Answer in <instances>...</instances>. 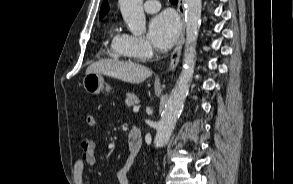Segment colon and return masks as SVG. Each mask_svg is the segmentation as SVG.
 <instances>
[{"label": "colon", "instance_id": "5ec220e1", "mask_svg": "<svg viewBox=\"0 0 293 184\" xmlns=\"http://www.w3.org/2000/svg\"><path fill=\"white\" fill-rule=\"evenodd\" d=\"M96 123V119H95V116L91 113H88L87 116H86V124L87 126L89 127H93Z\"/></svg>", "mask_w": 293, "mask_h": 184}]
</instances>
